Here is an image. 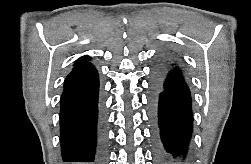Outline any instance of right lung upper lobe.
Returning a JSON list of instances; mask_svg holds the SVG:
<instances>
[{"instance_id":"obj_1","label":"right lung upper lobe","mask_w":251,"mask_h":164,"mask_svg":"<svg viewBox=\"0 0 251 164\" xmlns=\"http://www.w3.org/2000/svg\"><path fill=\"white\" fill-rule=\"evenodd\" d=\"M89 60H90V57H88V56H83V57L79 58V59L75 62L74 67L88 64V63H89Z\"/></svg>"}]
</instances>
